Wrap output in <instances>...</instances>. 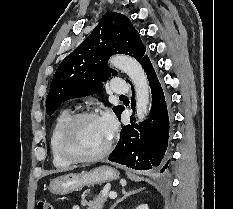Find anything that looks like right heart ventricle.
I'll return each instance as SVG.
<instances>
[{"label": "right heart ventricle", "mask_w": 233, "mask_h": 209, "mask_svg": "<svg viewBox=\"0 0 233 209\" xmlns=\"http://www.w3.org/2000/svg\"><path fill=\"white\" fill-rule=\"evenodd\" d=\"M71 115L72 113L69 109L62 110L56 118L50 135V151L52 155V162L54 166L58 168H66L72 165V162L63 157L60 150V138L62 130Z\"/></svg>", "instance_id": "1"}]
</instances>
